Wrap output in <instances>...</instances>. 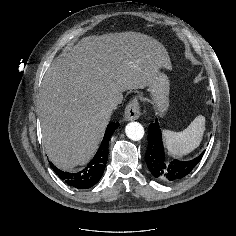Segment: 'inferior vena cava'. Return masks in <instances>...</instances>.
I'll use <instances>...</instances> for the list:
<instances>
[{
	"label": "inferior vena cava",
	"mask_w": 236,
	"mask_h": 236,
	"mask_svg": "<svg viewBox=\"0 0 236 236\" xmlns=\"http://www.w3.org/2000/svg\"><path fill=\"white\" fill-rule=\"evenodd\" d=\"M119 103H120V101H114V102L111 104V107L114 109Z\"/></svg>",
	"instance_id": "inferior-vena-cava-1"
}]
</instances>
